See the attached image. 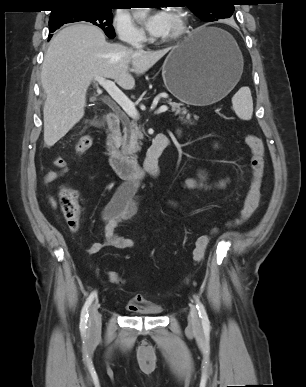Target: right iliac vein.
Here are the masks:
<instances>
[{"instance_id":"right-iliac-vein-1","label":"right iliac vein","mask_w":306,"mask_h":387,"mask_svg":"<svg viewBox=\"0 0 306 387\" xmlns=\"http://www.w3.org/2000/svg\"><path fill=\"white\" fill-rule=\"evenodd\" d=\"M98 307L97 302H95L89 309L88 332L92 337H97L101 330V315Z\"/></svg>"}]
</instances>
